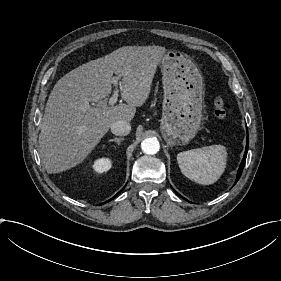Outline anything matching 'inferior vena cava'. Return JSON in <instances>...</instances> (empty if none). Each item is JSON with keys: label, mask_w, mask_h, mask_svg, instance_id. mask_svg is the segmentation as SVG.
Masks as SVG:
<instances>
[{"label": "inferior vena cava", "mask_w": 281, "mask_h": 281, "mask_svg": "<svg viewBox=\"0 0 281 281\" xmlns=\"http://www.w3.org/2000/svg\"><path fill=\"white\" fill-rule=\"evenodd\" d=\"M131 131V124L126 121H117L111 126V132L114 135L118 136H126Z\"/></svg>", "instance_id": "obj_1"}]
</instances>
